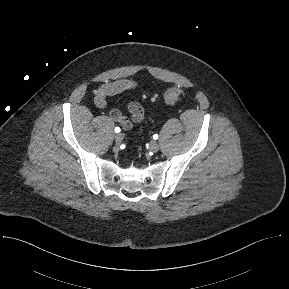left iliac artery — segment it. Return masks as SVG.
Masks as SVG:
<instances>
[{
  "label": "left iliac artery",
  "mask_w": 289,
  "mask_h": 289,
  "mask_svg": "<svg viewBox=\"0 0 289 289\" xmlns=\"http://www.w3.org/2000/svg\"><path fill=\"white\" fill-rule=\"evenodd\" d=\"M153 139H155V140L158 139V134H154Z\"/></svg>",
  "instance_id": "44dca946"
}]
</instances>
